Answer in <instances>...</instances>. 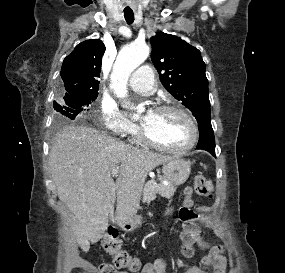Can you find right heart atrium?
I'll use <instances>...</instances> for the list:
<instances>
[{"mask_svg": "<svg viewBox=\"0 0 285 273\" xmlns=\"http://www.w3.org/2000/svg\"><path fill=\"white\" fill-rule=\"evenodd\" d=\"M99 115L103 128L116 135L129 136L137 131V127L109 101L101 102Z\"/></svg>", "mask_w": 285, "mask_h": 273, "instance_id": "obj_1", "label": "right heart atrium"}]
</instances>
